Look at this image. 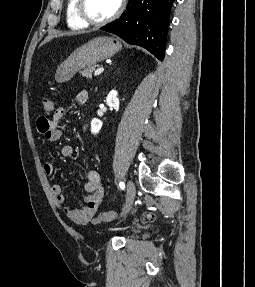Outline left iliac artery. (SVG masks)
<instances>
[{
    "instance_id": "left-iliac-artery-1",
    "label": "left iliac artery",
    "mask_w": 255,
    "mask_h": 287,
    "mask_svg": "<svg viewBox=\"0 0 255 287\" xmlns=\"http://www.w3.org/2000/svg\"><path fill=\"white\" fill-rule=\"evenodd\" d=\"M119 186H120V188H121L122 190L125 189V184H124V182H120V183H119Z\"/></svg>"
}]
</instances>
